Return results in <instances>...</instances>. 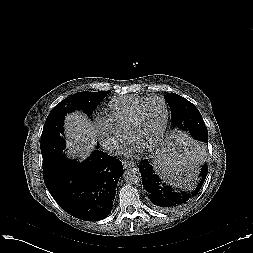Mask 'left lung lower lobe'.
I'll return each instance as SVG.
<instances>
[{
  "label": "left lung lower lobe",
  "mask_w": 253,
  "mask_h": 253,
  "mask_svg": "<svg viewBox=\"0 0 253 253\" xmlns=\"http://www.w3.org/2000/svg\"><path fill=\"white\" fill-rule=\"evenodd\" d=\"M197 147L198 144H195ZM198 157L204 162L203 152L200 149L194 150ZM139 170L142 176V184L147 191L148 199L151 205L159 210H172L178 208L188 202V200L198 194L205 178L207 176V164L201 167L199 178L195 185L189 191H178L173 189L162 180L153 170L152 163L148 160H143L139 164Z\"/></svg>",
  "instance_id": "left-lung-lower-lobe-1"
}]
</instances>
